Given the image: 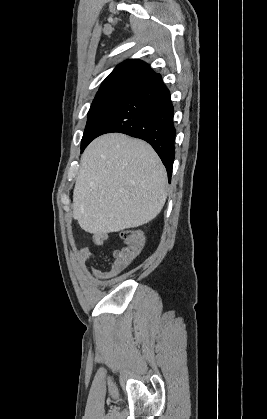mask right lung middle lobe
I'll return each instance as SVG.
<instances>
[{
  "instance_id": "right-lung-middle-lobe-1",
  "label": "right lung middle lobe",
  "mask_w": 267,
  "mask_h": 419,
  "mask_svg": "<svg viewBox=\"0 0 267 419\" xmlns=\"http://www.w3.org/2000/svg\"><path fill=\"white\" fill-rule=\"evenodd\" d=\"M130 92L115 91L97 94L88 112V120L81 141V152L91 142L94 131L102 120L115 108Z\"/></svg>"
}]
</instances>
